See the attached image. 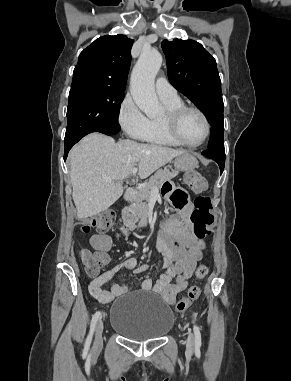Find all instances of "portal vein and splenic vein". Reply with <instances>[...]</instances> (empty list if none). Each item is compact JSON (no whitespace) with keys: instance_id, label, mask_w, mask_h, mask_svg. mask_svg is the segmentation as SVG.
I'll list each match as a JSON object with an SVG mask.
<instances>
[{"instance_id":"1","label":"portal vein and splenic vein","mask_w":291,"mask_h":381,"mask_svg":"<svg viewBox=\"0 0 291 381\" xmlns=\"http://www.w3.org/2000/svg\"><path fill=\"white\" fill-rule=\"evenodd\" d=\"M136 173H137V168L134 167L133 170H132V175L135 176ZM105 180L108 181V182H110V183H114V182H113L110 178H108V177H106ZM153 192H154V193H157V192H158V188L154 187V188H153Z\"/></svg>"}]
</instances>
